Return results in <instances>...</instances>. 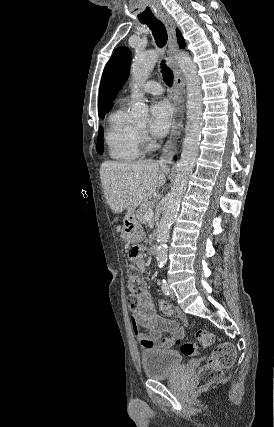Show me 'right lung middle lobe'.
<instances>
[{"instance_id":"1","label":"right lung middle lobe","mask_w":274,"mask_h":427,"mask_svg":"<svg viewBox=\"0 0 274 427\" xmlns=\"http://www.w3.org/2000/svg\"><path fill=\"white\" fill-rule=\"evenodd\" d=\"M104 114H101L99 116L101 118H104ZM103 148H104V144H103V128L100 126L99 134H98V140H97V152L99 154H102L103 153Z\"/></svg>"}]
</instances>
